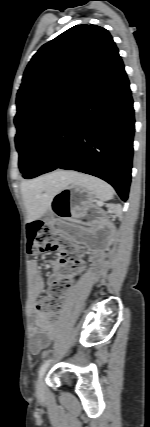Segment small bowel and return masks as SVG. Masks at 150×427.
<instances>
[{
  "label": "small bowel",
  "mask_w": 150,
  "mask_h": 427,
  "mask_svg": "<svg viewBox=\"0 0 150 427\" xmlns=\"http://www.w3.org/2000/svg\"><path fill=\"white\" fill-rule=\"evenodd\" d=\"M49 265L52 268H59L60 263L57 261H50ZM30 268L33 276L34 286L37 292H42L45 288V281L40 274L39 265L37 261L30 262ZM56 277L53 275L52 279ZM57 328L51 324L45 312L37 310L35 313V323L31 328L30 350L33 354H38L43 349L47 348L49 344L56 338Z\"/></svg>",
  "instance_id": "obj_1"
}]
</instances>
